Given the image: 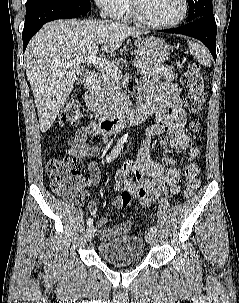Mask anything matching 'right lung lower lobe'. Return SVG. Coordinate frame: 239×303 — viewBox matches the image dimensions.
Returning <instances> with one entry per match:
<instances>
[{
    "instance_id": "right-lung-lower-lobe-1",
    "label": "right lung lower lobe",
    "mask_w": 239,
    "mask_h": 303,
    "mask_svg": "<svg viewBox=\"0 0 239 303\" xmlns=\"http://www.w3.org/2000/svg\"><path fill=\"white\" fill-rule=\"evenodd\" d=\"M91 9L90 2H56L47 1L26 8V18L22 33L23 51L29 40L47 22L56 19L75 18Z\"/></svg>"
}]
</instances>
